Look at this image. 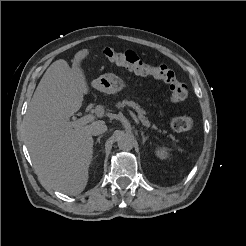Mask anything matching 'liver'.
I'll return each mask as SVG.
<instances>
[{
    "label": "liver",
    "instance_id": "liver-1",
    "mask_svg": "<svg viewBox=\"0 0 246 246\" xmlns=\"http://www.w3.org/2000/svg\"><path fill=\"white\" fill-rule=\"evenodd\" d=\"M88 55V49L78 51L72 68L63 59L49 66L29 103L24 124L25 143L37 175L70 195L85 189L93 157L91 128L95 122L77 126L68 122L90 92L80 67ZM95 113L103 117V106L98 105Z\"/></svg>",
    "mask_w": 246,
    "mask_h": 246
}]
</instances>
